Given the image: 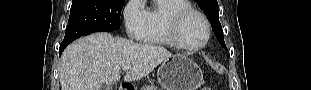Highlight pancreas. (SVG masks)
I'll list each match as a JSON object with an SVG mask.
<instances>
[{
  "label": "pancreas",
  "mask_w": 311,
  "mask_h": 90,
  "mask_svg": "<svg viewBox=\"0 0 311 90\" xmlns=\"http://www.w3.org/2000/svg\"><path fill=\"white\" fill-rule=\"evenodd\" d=\"M142 90H157V87L151 84V85L144 86Z\"/></svg>",
  "instance_id": "cf45deb5"
}]
</instances>
